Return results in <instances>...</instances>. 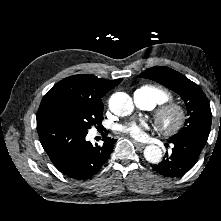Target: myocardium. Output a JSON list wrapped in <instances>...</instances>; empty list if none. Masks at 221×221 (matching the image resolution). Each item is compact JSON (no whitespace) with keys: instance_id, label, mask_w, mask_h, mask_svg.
I'll use <instances>...</instances> for the list:
<instances>
[{"instance_id":"myocardium-1","label":"myocardium","mask_w":221,"mask_h":221,"mask_svg":"<svg viewBox=\"0 0 221 221\" xmlns=\"http://www.w3.org/2000/svg\"><path fill=\"white\" fill-rule=\"evenodd\" d=\"M157 129L166 136L179 132L186 121V111L178 103H168L158 108L154 115Z\"/></svg>"}]
</instances>
